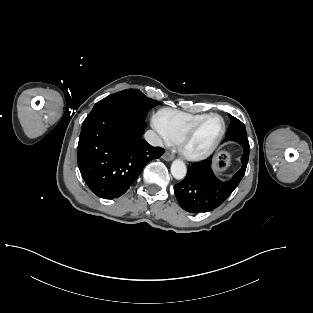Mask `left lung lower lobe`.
I'll list each match as a JSON object with an SVG mask.
<instances>
[{"label":"left lung lower lobe","mask_w":313,"mask_h":313,"mask_svg":"<svg viewBox=\"0 0 313 313\" xmlns=\"http://www.w3.org/2000/svg\"><path fill=\"white\" fill-rule=\"evenodd\" d=\"M226 140L235 141L242 146L244 153L241 169L231 180L222 182L211 169L212 156L189 165L185 179L174 186L175 196L184 210L190 213L211 211L221 205L240 183L248 163L249 141L245 135L226 137Z\"/></svg>","instance_id":"left-lung-lower-lobe-1"}]
</instances>
